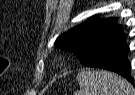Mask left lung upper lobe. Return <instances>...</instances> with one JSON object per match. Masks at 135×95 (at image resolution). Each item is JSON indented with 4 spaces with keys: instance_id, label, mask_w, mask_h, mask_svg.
Returning a JSON list of instances; mask_svg holds the SVG:
<instances>
[{
    "instance_id": "1",
    "label": "left lung upper lobe",
    "mask_w": 135,
    "mask_h": 95,
    "mask_svg": "<svg viewBox=\"0 0 135 95\" xmlns=\"http://www.w3.org/2000/svg\"><path fill=\"white\" fill-rule=\"evenodd\" d=\"M96 17L97 15L60 35L54 43L56 47L74 52L84 64L105 37L123 30L116 23V18Z\"/></svg>"
}]
</instances>
